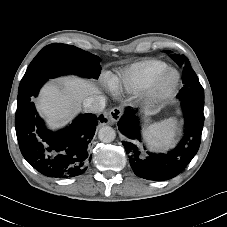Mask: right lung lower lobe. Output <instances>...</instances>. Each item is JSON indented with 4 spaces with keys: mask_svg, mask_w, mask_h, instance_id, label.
Wrapping results in <instances>:
<instances>
[{
    "mask_svg": "<svg viewBox=\"0 0 227 227\" xmlns=\"http://www.w3.org/2000/svg\"><path fill=\"white\" fill-rule=\"evenodd\" d=\"M47 80L38 81L18 92L15 129L22 155L40 173L49 177L68 178L83 174L91 139L101 115L81 114L72 124L58 132L44 126L31 99Z\"/></svg>",
    "mask_w": 227,
    "mask_h": 227,
    "instance_id": "obj_1",
    "label": "right lung lower lobe"
}]
</instances>
